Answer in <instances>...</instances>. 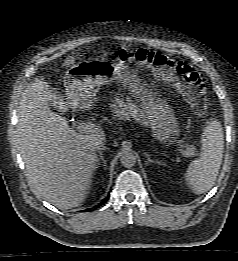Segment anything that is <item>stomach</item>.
<instances>
[{"mask_svg": "<svg viewBox=\"0 0 238 261\" xmlns=\"http://www.w3.org/2000/svg\"><path fill=\"white\" fill-rule=\"evenodd\" d=\"M114 80L127 82L115 64L89 61L73 65L64 76L67 102L73 108L91 109L96 103L100 86ZM141 95L148 100L143 114L154 135L164 141L173 139L177 133V123L170 108L155 100L148 91Z\"/></svg>", "mask_w": 238, "mask_h": 261, "instance_id": "1", "label": "stomach"}]
</instances>
